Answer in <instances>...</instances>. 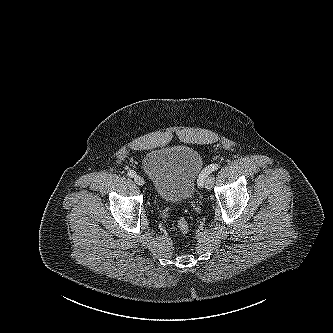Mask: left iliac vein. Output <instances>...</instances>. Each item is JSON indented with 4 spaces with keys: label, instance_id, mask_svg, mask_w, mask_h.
I'll return each mask as SVG.
<instances>
[{
    "label": "left iliac vein",
    "instance_id": "4c4485c4",
    "mask_svg": "<svg viewBox=\"0 0 333 333\" xmlns=\"http://www.w3.org/2000/svg\"><path fill=\"white\" fill-rule=\"evenodd\" d=\"M214 183V176L212 174L208 175L205 180V187L211 189Z\"/></svg>",
    "mask_w": 333,
    "mask_h": 333
}]
</instances>
